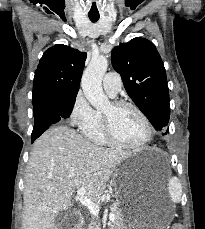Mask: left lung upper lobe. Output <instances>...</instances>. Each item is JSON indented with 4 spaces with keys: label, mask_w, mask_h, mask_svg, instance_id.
<instances>
[{
    "label": "left lung upper lobe",
    "mask_w": 205,
    "mask_h": 229,
    "mask_svg": "<svg viewBox=\"0 0 205 229\" xmlns=\"http://www.w3.org/2000/svg\"><path fill=\"white\" fill-rule=\"evenodd\" d=\"M111 61L122 77L126 92L154 128L166 129L170 117L169 91L165 68L155 45L147 39L134 38L115 47Z\"/></svg>",
    "instance_id": "left-lung-upper-lobe-1"
}]
</instances>
